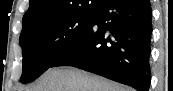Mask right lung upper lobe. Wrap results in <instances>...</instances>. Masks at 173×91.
<instances>
[{"label": "right lung upper lobe", "mask_w": 173, "mask_h": 91, "mask_svg": "<svg viewBox=\"0 0 173 91\" xmlns=\"http://www.w3.org/2000/svg\"><path fill=\"white\" fill-rule=\"evenodd\" d=\"M23 16V29L41 21L96 9L99 0H29Z\"/></svg>", "instance_id": "obj_1"}]
</instances>
